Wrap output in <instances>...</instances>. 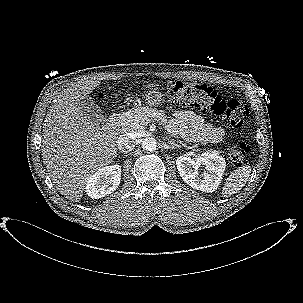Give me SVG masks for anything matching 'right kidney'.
<instances>
[{"label":"right kidney","mask_w":303,"mask_h":303,"mask_svg":"<svg viewBox=\"0 0 303 303\" xmlns=\"http://www.w3.org/2000/svg\"><path fill=\"white\" fill-rule=\"evenodd\" d=\"M121 167L117 164L106 166L92 174L86 182L87 195L99 199L111 194L120 184Z\"/></svg>","instance_id":"1"}]
</instances>
